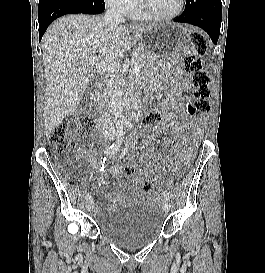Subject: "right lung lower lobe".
I'll list each match as a JSON object with an SVG mask.
<instances>
[{"label":"right lung lower lobe","mask_w":265,"mask_h":273,"mask_svg":"<svg viewBox=\"0 0 265 273\" xmlns=\"http://www.w3.org/2000/svg\"><path fill=\"white\" fill-rule=\"evenodd\" d=\"M39 36L40 40L47 27L56 18L65 14H100L105 4L96 0H40L39 1Z\"/></svg>","instance_id":"obj_1"}]
</instances>
